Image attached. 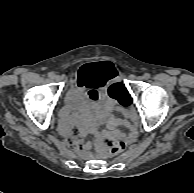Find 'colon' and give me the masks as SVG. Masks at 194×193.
I'll return each instance as SVG.
<instances>
[{"instance_id":"5ec220e1","label":"colon","mask_w":194,"mask_h":193,"mask_svg":"<svg viewBox=\"0 0 194 193\" xmlns=\"http://www.w3.org/2000/svg\"><path fill=\"white\" fill-rule=\"evenodd\" d=\"M117 90V84L111 85L108 88V93L110 96L114 98H118V95L116 93ZM105 145L107 150L111 154H119L125 149V143L122 139L111 137L105 140Z\"/></svg>"}]
</instances>
